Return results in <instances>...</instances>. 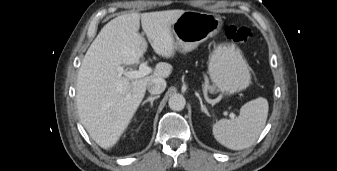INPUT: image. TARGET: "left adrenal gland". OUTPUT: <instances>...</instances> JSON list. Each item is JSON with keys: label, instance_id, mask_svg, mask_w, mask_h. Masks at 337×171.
<instances>
[{"label": "left adrenal gland", "instance_id": "left-adrenal-gland-1", "mask_svg": "<svg viewBox=\"0 0 337 171\" xmlns=\"http://www.w3.org/2000/svg\"><path fill=\"white\" fill-rule=\"evenodd\" d=\"M196 96L198 97V99L200 101L201 111L204 112L206 115L209 116V112H208L207 108L204 106L200 95L198 93H196Z\"/></svg>", "mask_w": 337, "mask_h": 171}]
</instances>
